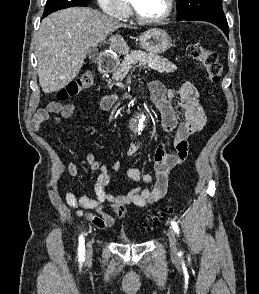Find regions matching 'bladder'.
I'll return each mask as SVG.
<instances>
[{"label": "bladder", "mask_w": 259, "mask_h": 294, "mask_svg": "<svg viewBox=\"0 0 259 294\" xmlns=\"http://www.w3.org/2000/svg\"><path fill=\"white\" fill-rule=\"evenodd\" d=\"M122 243H124V244H134L133 242H130V241H122Z\"/></svg>", "instance_id": "bladder-1"}]
</instances>
